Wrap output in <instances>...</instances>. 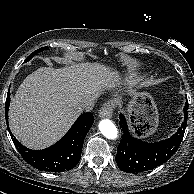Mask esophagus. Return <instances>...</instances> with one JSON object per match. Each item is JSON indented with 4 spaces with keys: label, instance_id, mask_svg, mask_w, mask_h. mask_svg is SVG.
Returning a JSON list of instances; mask_svg holds the SVG:
<instances>
[{
    "label": "esophagus",
    "instance_id": "34e87169",
    "mask_svg": "<svg viewBox=\"0 0 194 194\" xmlns=\"http://www.w3.org/2000/svg\"><path fill=\"white\" fill-rule=\"evenodd\" d=\"M112 113H113L112 105L109 103H105L99 110V117L110 118L112 116Z\"/></svg>",
    "mask_w": 194,
    "mask_h": 194
}]
</instances>
